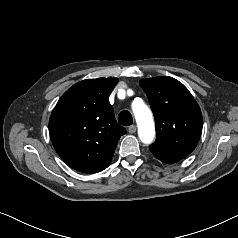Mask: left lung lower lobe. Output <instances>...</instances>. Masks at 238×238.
Instances as JSON below:
<instances>
[{
	"label": "left lung lower lobe",
	"mask_w": 238,
	"mask_h": 238,
	"mask_svg": "<svg viewBox=\"0 0 238 238\" xmlns=\"http://www.w3.org/2000/svg\"><path fill=\"white\" fill-rule=\"evenodd\" d=\"M153 154L156 158H158L162 162L168 163V164L175 163V162L181 160L180 158L168 156V155H165V154H162V153H153Z\"/></svg>",
	"instance_id": "0a47b994"
}]
</instances>
